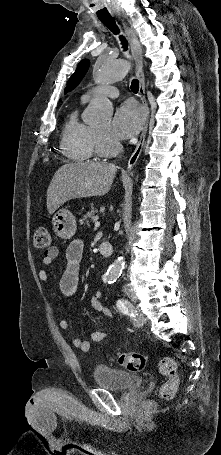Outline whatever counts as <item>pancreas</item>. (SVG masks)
I'll return each mask as SVG.
<instances>
[{"label":"pancreas","mask_w":221,"mask_h":455,"mask_svg":"<svg viewBox=\"0 0 221 455\" xmlns=\"http://www.w3.org/2000/svg\"><path fill=\"white\" fill-rule=\"evenodd\" d=\"M97 212L98 209L91 207V209L80 219V225H89L88 218L93 222L96 221L98 219V216H96L95 213Z\"/></svg>","instance_id":"cf45deb5"}]
</instances>
